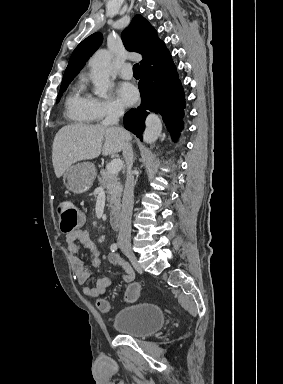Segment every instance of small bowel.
Instances as JSON below:
<instances>
[{"mask_svg":"<svg viewBox=\"0 0 283 384\" xmlns=\"http://www.w3.org/2000/svg\"><path fill=\"white\" fill-rule=\"evenodd\" d=\"M66 242L67 250L72 260L74 275L77 282L83 286V294L89 298H98L102 296L107 291V289L112 286V280L108 277H103L98 279L95 285H88L87 282L90 279L92 273L80 258L82 248H87L93 255L94 267H98L100 264L99 251L92 241L89 232L80 227L73 232L67 233ZM107 259L110 264L121 266L123 268V280L125 282H133L135 276L132 267L126 263L119 255L111 252L108 254Z\"/></svg>","mask_w":283,"mask_h":384,"instance_id":"small-bowel-1","label":"small bowel"}]
</instances>
